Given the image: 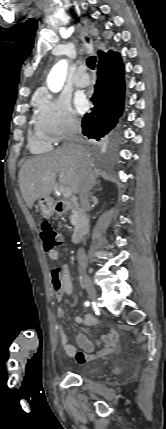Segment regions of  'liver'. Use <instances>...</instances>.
<instances>
[{
    "mask_svg": "<svg viewBox=\"0 0 166 429\" xmlns=\"http://www.w3.org/2000/svg\"><path fill=\"white\" fill-rule=\"evenodd\" d=\"M87 163L92 160L84 148ZM82 161L65 148L27 160L19 171V187L26 205L32 208L34 202L49 196L56 186V176L62 186H68L74 194L79 193Z\"/></svg>",
    "mask_w": 166,
    "mask_h": 429,
    "instance_id": "6515ba94",
    "label": "liver"
}]
</instances>
